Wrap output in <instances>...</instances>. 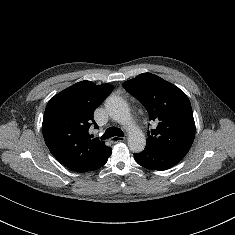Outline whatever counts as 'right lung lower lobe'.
I'll use <instances>...</instances> for the list:
<instances>
[{
  "mask_svg": "<svg viewBox=\"0 0 235 235\" xmlns=\"http://www.w3.org/2000/svg\"><path fill=\"white\" fill-rule=\"evenodd\" d=\"M111 153L112 149L109 147L86 171H93L102 167L107 162Z\"/></svg>",
  "mask_w": 235,
  "mask_h": 235,
  "instance_id": "obj_1",
  "label": "right lung lower lobe"
}]
</instances>
